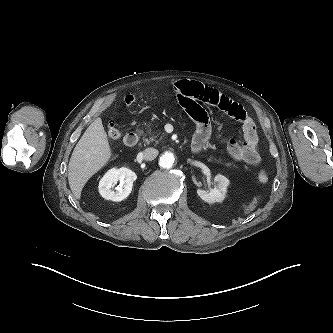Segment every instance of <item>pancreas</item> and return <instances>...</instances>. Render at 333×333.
I'll use <instances>...</instances> for the list:
<instances>
[{
  "label": "pancreas",
  "instance_id": "1",
  "mask_svg": "<svg viewBox=\"0 0 333 333\" xmlns=\"http://www.w3.org/2000/svg\"><path fill=\"white\" fill-rule=\"evenodd\" d=\"M137 132L144 135L142 139L146 144H150L151 142L156 141L157 135H155L154 132H151V130L148 131V134L150 135L149 138L146 137L147 134H144L143 130L137 129Z\"/></svg>",
  "mask_w": 333,
  "mask_h": 333
}]
</instances>
